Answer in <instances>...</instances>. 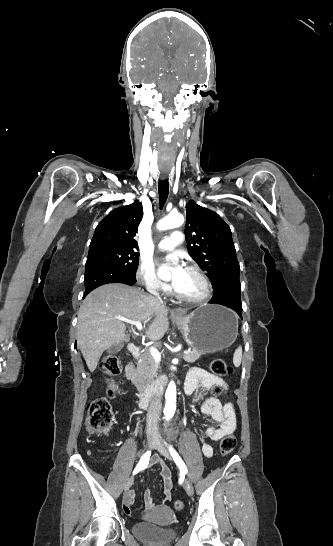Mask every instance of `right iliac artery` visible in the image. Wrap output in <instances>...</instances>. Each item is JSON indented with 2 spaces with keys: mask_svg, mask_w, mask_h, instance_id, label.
<instances>
[{
  "mask_svg": "<svg viewBox=\"0 0 333 546\" xmlns=\"http://www.w3.org/2000/svg\"><path fill=\"white\" fill-rule=\"evenodd\" d=\"M150 456H151V451H147L145 454H143L139 463L137 464V466L135 467L133 471V475L137 474L138 472H140L141 470L147 467Z\"/></svg>",
  "mask_w": 333,
  "mask_h": 546,
  "instance_id": "obj_1",
  "label": "right iliac artery"
}]
</instances>
